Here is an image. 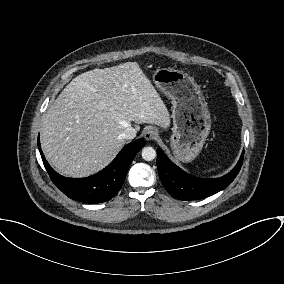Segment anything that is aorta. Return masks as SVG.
Here are the masks:
<instances>
[{
	"label": "aorta",
	"mask_w": 284,
	"mask_h": 284,
	"mask_svg": "<svg viewBox=\"0 0 284 284\" xmlns=\"http://www.w3.org/2000/svg\"><path fill=\"white\" fill-rule=\"evenodd\" d=\"M141 154L142 158L146 161H152L156 157V151L153 147H144Z\"/></svg>",
	"instance_id": "1"
}]
</instances>
